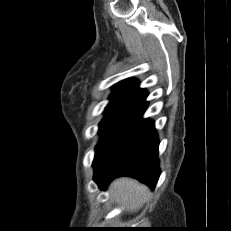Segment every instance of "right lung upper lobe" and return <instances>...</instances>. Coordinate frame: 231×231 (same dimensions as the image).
Instances as JSON below:
<instances>
[{
	"instance_id": "obj_1",
	"label": "right lung upper lobe",
	"mask_w": 231,
	"mask_h": 231,
	"mask_svg": "<svg viewBox=\"0 0 231 231\" xmlns=\"http://www.w3.org/2000/svg\"><path fill=\"white\" fill-rule=\"evenodd\" d=\"M139 82L129 78L116 84L113 88L112 99H131L139 102H145L148 93L145 89L138 88Z\"/></svg>"
}]
</instances>
